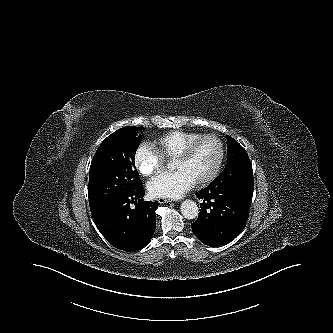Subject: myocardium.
<instances>
[{
    "label": "myocardium",
    "instance_id": "1",
    "mask_svg": "<svg viewBox=\"0 0 333 333\" xmlns=\"http://www.w3.org/2000/svg\"><path fill=\"white\" fill-rule=\"evenodd\" d=\"M207 138H211L216 141V143L218 144V148H219V155H218V160L216 162V165H215L214 169L212 170V172L206 178L196 182V184L198 186L209 185L219 176L223 163H224V159H225V148H224V144H223L222 140L215 134H211V133L201 134L200 136L196 137L195 139H193L189 143H187V145L183 148V150L173 159L174 161L186 160L191 155V153L193 152V150L195 149L197 144L200 141L207 139Z\"/></svg>",
    "mask_w": 333,
    "mask_h": 333
}]
</instances>
